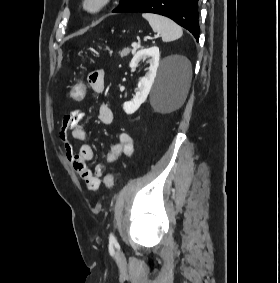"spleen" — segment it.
Returning a JSON list of instances; mask_svg holds the SVG:
<instances>
[{
  "mask_svg": "<svg viewBox=\"0 0 280 283\" xmlns=\"http://www.w3.org/2000/svg\"><path fill=\"white\" fill-rule=\"evenodd\" d=\"M154 32L161 35L164 42L174 41L183 35L182 28L171 19L152 13H143Z\"/></svg>",
  "mask_w": 280,
  "mask_h": 283,
  "instance_id": "1",
  "label": "spleen"
}]
</instances>
